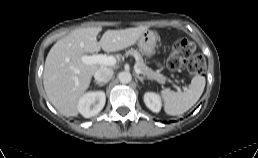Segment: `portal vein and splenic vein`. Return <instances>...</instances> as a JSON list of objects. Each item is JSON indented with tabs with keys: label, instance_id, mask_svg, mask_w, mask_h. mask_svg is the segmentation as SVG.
Segmentation results:
<instances>
[{
	"label": "portal vein and splenic vein",
	"instance_id": "1",
	"mask_svg": "<svg viewBox=\"0 0 258 158\" xmlns=\"http://www.w3.org/2000/svg\"><path fill=\"white\" fill-rule=\"evenodd\" d=\"M83 63L91 65V64H102L107 66H113L116 64V58L114 56H106L102 54H93V55H84L81 57ZM135 72L141 73V70L135 66ZM180 91V88L177 87Z\"/></svg>",
	"mask_w": 258,
	"mask_h": 158
}]
</instances>
